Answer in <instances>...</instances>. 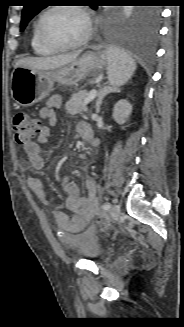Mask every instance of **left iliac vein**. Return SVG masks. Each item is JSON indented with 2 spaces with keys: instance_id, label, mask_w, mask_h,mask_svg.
<instances>
[{
  "instance_id": "1",
  "label": "left iliac vein",
  "mask_w": 184,
  "mask_h": 327,
  "mask_svg": "<svg viewBox=\"0 0 184 327\" xmlns=\"http://www.w3.org/2000/svg\"><path fill=\"white\" fill-rule=\"evenodd\" d=\"M112 213L114 218H118L121 214V207L118 204H114L112 207Z\"/></svg>"
}]
</instances>
